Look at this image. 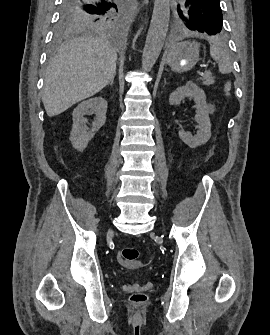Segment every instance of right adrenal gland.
Segmentation results:
<instances>
[{
	"instance_id": "right-adrenal-gland-1",
	"label": "right adrenal gland",
	"mask_w": 270,
	"mask_h": 335,
	"mask_svg": "<svg viewBox=\"0 0 270 335\" xmlns=\"http://www.w3.org/2000/svg\"><path fill=\"white\" fill-rule=\"evenodd\" d=\"M113 82H114V78H113V80H111L110 86H113Z\"/></svg>"
}]
</instances>
